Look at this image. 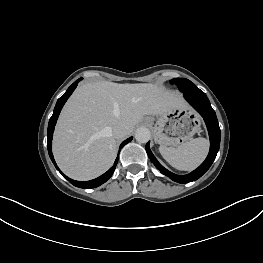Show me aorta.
Instances as JSON below:
<instances>
[{
	"instance_id": "1",
	"label": "aorta",
	"mask_w": 263,
	"mask_h": 263,
	"mask_svg": "<svg viewBox=\"0 0 263 263\" xmlns=\"http://www.w3.org/2000/svg\"><path fill=\"white\" fill-rule=\"evenodd\" d=\"M151 138V132L146 127H140L135 132V139L139 143H147Z\"/></svg>"
}]
</instances>
